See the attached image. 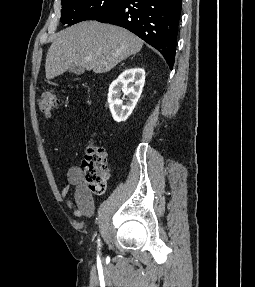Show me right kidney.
Wrapping results in <instances>:
<instances>
[{
	"label": "right kidney",
	"mask_w": 255,
	"mask_h": 287,
	"mask_svg": "<svg viewBox=\"0 0 255 287\" xmlns=\"http://www.w3.org/2000/svg\"><path fill=\"white\" fill-rule=\"evenodd\" d=\"M145 72L143 68H130L125 70L117 80L109 86L108 104L115 122H125L132 114L143 90ZM121 90L124 96H128L129 102L123 106L120 100ZM124 100V98H123Z\"/></svg>",
	"instance_id": "obj_1"
}]
</instances>
